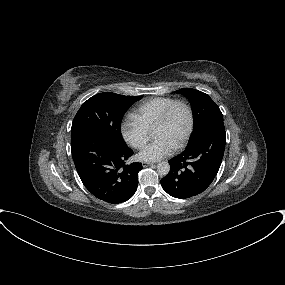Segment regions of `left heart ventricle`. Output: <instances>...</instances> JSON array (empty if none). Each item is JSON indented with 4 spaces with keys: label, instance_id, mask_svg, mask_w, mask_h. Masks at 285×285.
Wrapping results in <instances>:
<instances>
[{
    "label": "left heart ventricle",
    "instance_id": "obj_1",
    "mask_svg": "<svg viewBox=\"0 0 285 285\" xmlns=\"http://www.w3.org/2000/svg\"><path fill=\"white\" fill-rule=\"evenodd\" d=\"M188 122L187 110L183 106H177L168 121L153 130V136L164 137L176 146L184 138L188 128Z\"/></svg>",
    "mask_w": 285,
    "mask_h": 285
}]
</instances>
